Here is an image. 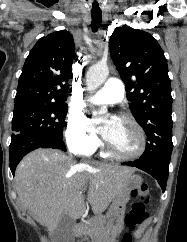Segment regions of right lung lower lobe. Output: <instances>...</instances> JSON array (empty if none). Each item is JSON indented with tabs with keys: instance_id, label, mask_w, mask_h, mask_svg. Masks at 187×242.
<instances>
[{
	"instance_id": "98d812e1",
	"label": "right lung lower lobe",
	"mask_w": 187,
	"mask_h": 242,
	"mask_svg": "<svg viewBox=\"0 0 187 242\" xmlns=\"http://www.w3.org/2000/svg\"><path fill=\"white\" fill-rule=\"evenodd\" d=\"M10 169L14 175L17 164L29 152L38 148H53L66 151L62 139L44 135L21 133L12 135L9 146Z\"/></svg>"
}]
</instances>
